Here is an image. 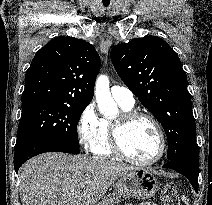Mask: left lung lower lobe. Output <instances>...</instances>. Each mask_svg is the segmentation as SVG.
<instances>
[{"label":"left lung lower lobe","mask_w":212,"mask_h":205,"mask_svg":"<svg viewBox=\"0 0 212 205\" xmlns=\"http://www.w3.org/2000/svg\"><path fill=\"white\" fill-rule=\"evenodd\" d=\"M163 167L171 168L187 177L194 190L198 191L199 153L197 148L176 159L170 160Z\"/></svg>","instance_id":"obj_1"}]
</instances>
